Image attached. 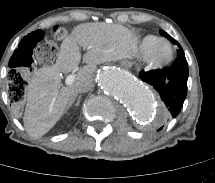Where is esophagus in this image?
<instances>
[{
  "instance_id": "obj_1",
  "label": "esophagus",
  "mask_w": 215,
  "mask_h": 183,
  "mask_svg": "<svg viewBox=\"0 0 215 183\" xmlns=\"http://www.w3.org/2000/svg\"><path fill=\"white\" fill-rule=\"evenodd\" d=\"M122 65H124V66H126V67H129V66H130V64H129L128 61H123V62H122Z\"/></svg>"
}]
</instances>
